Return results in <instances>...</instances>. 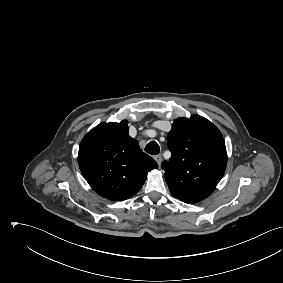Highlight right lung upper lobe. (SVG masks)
<instances>
[{
    "instance_id": "cb5924a9",
    "label": "right lung upper lobe",
    "mask_w": 283,
    "mask_h": 283,
    "mask_svg": "<svg viewBox=\"0 0 283 283\" xmlns=\"http://www.w3.org/2000/svg\"><path fill=\"white\" fill-rule=\"evenodd\" d=\"M128 122L101 123L81 141L80 170L99 195L122 201L136 194L147 173L158 168L156 161L142 152L137 140L128 134Z\"/></svg>"
}]
</instances>
